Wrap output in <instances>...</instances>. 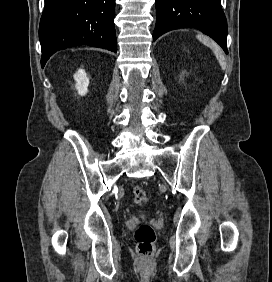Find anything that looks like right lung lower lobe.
Instances as JSON below:
<instances>
[{
    "instance_id": "98d812e1",
    "label": "right lung lower lobe",
    "mask_w": 272,
    "mask_h": 282,
    "mask_svg": "<svg viewBox=\"0 0 272 282\" xmlns=\"http://www.w3.org/2000/svg\"><path fill=\"white\" fill-rule=\"evenodd\" d=\"M115 0H45L40 21L41 66L59 50L90 45L117 52Z\"/></svg>"
}]
</instances>
